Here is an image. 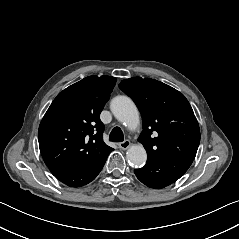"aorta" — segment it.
<instances>
[{
    "label": "aorta",
    "mask_w": 239,
    "mask_h": 239,
    "mask_svg": "<svg viewBox=\"0 0 239 239\" xmlns=\"http://www.w3.org/2000/svg\"><path fill=\"white\" fill-rule=\"evenodd\" d=\"M110 110L118 121L130 129L137 128L140 123L138 109L128 96L114 97L110 102ZM126 156L127 160L135 166L143 165L147 160V153L142 145L131 146Z\"/></svg>",
    "instance_id": "762f6f07"
}]
</instances>
